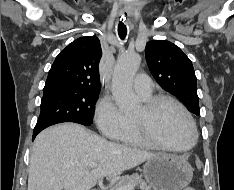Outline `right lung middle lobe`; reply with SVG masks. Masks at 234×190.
Wrapping results in <instances>:
<instances>
[{
  "label": "right lung middle lobe",
  "instance_id": "right-lung-middle-lobe-1",
  "mask_svg": "<svg viewBox=\"0 0 234 190\" xmlns=\"http://www.w3.org/2000/svg\"><path fill=\"white\" fill-rule=\"evenodd\" d=\"M98 94L99 91L44 88L41 112L34 131H42L61 122L91 125Z\"/></svg>",
  "mask_w": 234,
  "mask_h": 190
}]
</instances>
